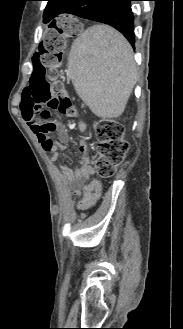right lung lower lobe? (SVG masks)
<instances>
[{
    "label": "right lung lower lobe",
    "instance_id": "obj_1",
    "mask_svg": "<svg viewBox=\"0 0 183 329\" xmlns=\"http://www.w3.org/2000/svg\"><path fill=\"white\" fill-rule=\"evenodd\" d=\"M131 1L133 0H60L51 8L55 11V16L70 13L109 24L119 30L133 46L135 34Z\"/></svg>",
    "mask_w": 183,
    "mask_h": 329
}]
</instances>
